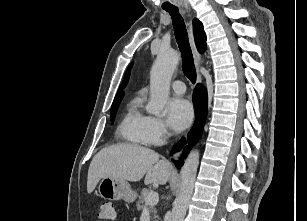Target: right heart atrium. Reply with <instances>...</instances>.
<instances>
[{
	"label": "right heart atrium",
	"mask_w": 307,
	"mask_h": 221,
	"mask_svg": "<svg viewBox=\"0 0 307 221\" xmlns=\"http://www.w3.org/2000/svg\"><path fill=\"white\" fill-rule=\"evenodd\" d=\"M147 131L150 144H160L168 137L169 132L164 121L155 116H147Z\"/></svg>",
	"instance_id": "d8ad5b80"
}]
</instances>
